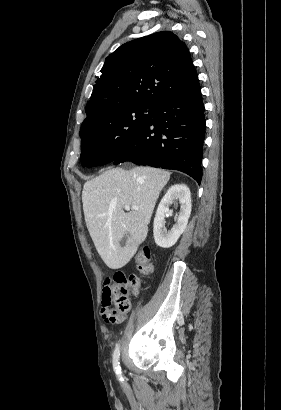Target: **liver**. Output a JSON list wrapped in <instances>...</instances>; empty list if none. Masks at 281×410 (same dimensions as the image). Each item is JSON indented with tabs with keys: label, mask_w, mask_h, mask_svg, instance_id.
Returning <instances> with one entry per match:
<instances>
[{
	"label": "liver",
	"mask_w": 281,
	"mask_h": 410,
	"mask_svg": "<svg viewBox=\"0 0 281 410\" xmlns=\"http://www.w3.org/2000/svg\"><path fill=\"white\" fill-rule=\"evenodd\" d=\"M171 173L159 168H114L83 186L86 226L97 252L111 269L125 266L146 239L148 224L160 192ZM139 210L124 211L125 206ZM125 246L121 240L126 236Z\"/></svg>",
	"instance_id": "1"
}]
</instances>
